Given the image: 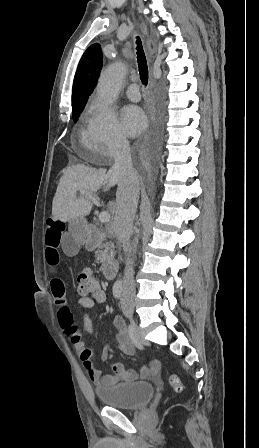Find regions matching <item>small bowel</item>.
I'll list each match as a JSON object with an SVG mask.
<instances>
[{"mask_svg": "<svg viewBox=\"0 0 259 448\" xmlns=\"http://www.w3.org/2000/svg\"><path fill=\"white\" fill-rule=\"evenodd\" d=\"M63 232L64 226L61 222L50 221L47 224L44 237L45 260L51 275L50 287L54 304L58 308L57 320L59 326L73 343V346L80 356L88 377L99 387H110L115 385L120 380L134 381L139 377L157 378L160 372V362L157 359H152L140 373L134 370H126L123 364L119 362H113L111 364L112 372L100 371L93 364L91 351L85 347V343L82 340L79 330L74 326L73 316L66 299L65 285L63 280L58 275L60 261L59 246ZM105 299V293L101 291L95 296H83L77 300V304L85 310L83 313L82 322L83 329L86 332L90 333L93 331V323L88 311L93 309L97 304L103 303ZM113 324L116 329L117 349L126 356H132L135 349L129 338L127 326L124 320L121 317L116 316L113 319ZM108 354L109 347H105L101 356L102 360H106L108 358Z\"/></svg>", "mask_w": 259, "mask_h": 448, "instance_id": "1", "label": "small bowel"}]
</instances>
